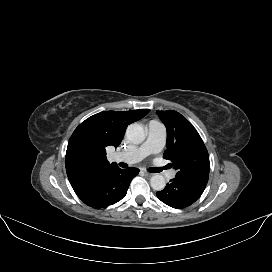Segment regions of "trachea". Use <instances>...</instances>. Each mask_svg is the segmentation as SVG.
Instances as JSON below:
<instances>
[{
    "mask_svg": "<svg viewBox=\"0 0 272 272\" xmlns=\"http://www.w3.org/2000/svg\"><path fill=\"white\" fill-rule=\"evenodd\" d=\"M165 168L166 167H152V168H148V171L151 173H158V172H161Z\"/></svg>",
    "mask_w": 272,
    "mask_h": 272,
    "instance_id": "1",
    "label": "trachea"
}]
</instances>
